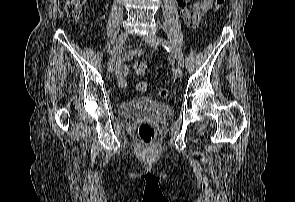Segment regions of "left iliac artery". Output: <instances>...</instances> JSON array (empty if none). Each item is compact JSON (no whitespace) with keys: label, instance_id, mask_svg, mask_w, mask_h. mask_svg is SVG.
<instances>
[{"label":"left iliac artery","instance_id":"obj_1","mask_svg":"<svg viewBox=\"0 0 295 202\" xmlns=\"http://www.w3.org/2000/svg\"><path fill=\"white\" fill-rule=\"evenodd\" d=\"M159 42L165 47V49L168 52L172 53L175 56V58L178 61V64H180V66L183 67L182 59L180 58L179 54L176 51H174V49L170 45L169 41H167L166 39H163V38H159Z\"/></svg>","mask_w":295,"mask_h":202}]
</instances>
